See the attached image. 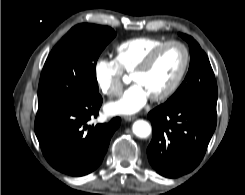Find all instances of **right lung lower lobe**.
Here are the masks:
<instances>
[{"mask_svg": "<svg viewBox=\"0 0 245 195\" xmlns=\"http://www.w3.org/2000/svg\"><path fill=\"white\" fill-rule=\"evenodd\" d=\"M102 97L53 109L38 110L35 134L43 155L56 170L83 176L94 171L102 162L110 139L120 126V118L88 126L96 118Z\"/></svg>", "mask_w": 245, "mask_h": 195, "instance_id": "1", "label": "right lung lower lobe"}]
</instances>
